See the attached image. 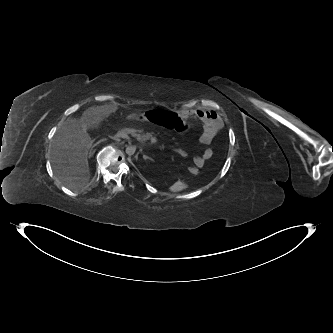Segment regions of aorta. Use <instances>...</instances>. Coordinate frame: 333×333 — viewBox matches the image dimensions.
Returning <instances> with one entry per match:
<instances>
[{
    "instance_id": "obj_1",
    "label": "aorta",
    "mask_w": 333,
    "mask_h": 333,
    "mask_svg": "<svg viewBox=\"0 0 333 333\" xmlns=\"http://www.w3.org/2000/svg\"><path fill=\"white\" fill-rule=\"evenodd\" d=\"M135 151H136L135 146H128L126 148L125 152H126L127 155H133L135 153Z\"/></svg>"
}]
</instances>
